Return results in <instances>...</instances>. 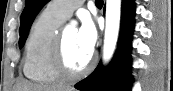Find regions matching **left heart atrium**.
Returning <instances> with one entry per match:
<instances>
[{
  "mask_svg": "<svg viewBox=\"0 0 173 91\" xmlns=\"http://www.w3.org/2000/svg\"><path fill=\"white\" fill-rule=\"evenodd\" d=\"M77 39L82 49L90 54L93 52L97 41V31L90 17L84 16L82 18L81 25L77 30Z\"/></svg>",
  "mask_w": 173,
  "mask_h": 91,
  "instance_id": "obj_1",
  "label": "left heart atrium"
}]
</instances>
